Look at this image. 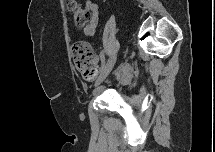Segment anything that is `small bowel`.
<instances>
[{
    "label": "small bowel",
    "mask_w": 215,
    "mask_h": 152,
    "mask_svg": "<svg viewBox=\"0 0 215 152\" xmlns=\"http://www.w3.org/2000/svg\"><path fill=\"white\" fill-rule=\"evenodd\" d=\"M86 11L90 14V20L87 25L83 28V33L85 36L91 37L95 34L97 25L99 23V6L98 4L88 1L86 3ZM123 77L125 81L130 82L132 80L131 73H126L124 75H121L120 73L117 74V78Z\"/></svg>",
    "instance_id": "c3829d8e"
}]
</instances>
